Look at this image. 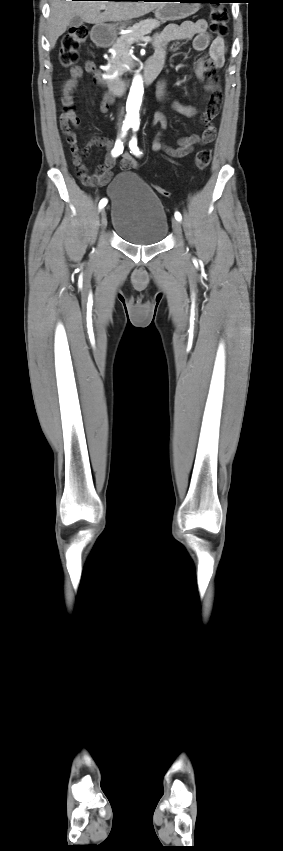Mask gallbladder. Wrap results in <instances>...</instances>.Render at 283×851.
<instances>
[{"label": "gallbladder", "instance_id": "bac80fb5", "mask_svg": "<svg viewBox=\"0 0 283 851\" xmlns=\"http://www.w3.org/2000/svg\"><path fill=\"white\" fill-rule=\"evenodd\" d=\"M83 24V19L79 16H74L70 21V27H78Z\"/></svg>", "mask_w": 283, "mask_h": 851}]
</instances>
